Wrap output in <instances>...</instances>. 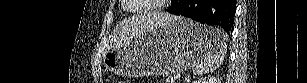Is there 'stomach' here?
I'll use <instances>...</instances> for the list:
<instances>
[{
	"label": "stomach",
	"instance_id": "stomach-1",
	"mask_svg": "<svg viewBox=\"0 0 307 83\" xmlns=\"http://www.w3.org/2000/svg\"><path fill=\"white\" fill-rule=\"evenodd\" d=\"M211 45L210 27L174 16L140 36L112 46L104 54V65L123 77L168 75L195 66Z\"/></svg>",
	"mask_w": 307,
	"mask_h": 83
}]
</instances>
